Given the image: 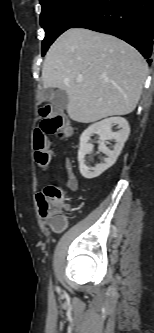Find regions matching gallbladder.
Returning a JSON list of instances; mask_svg holds the SVG:
<instances>
[{
  "instance_id": "obj_1",
  "label": "gallbladder",
  "mask_w": 154,
  "mask_h": 333,
  "mask_svg": "<svg viewBox=\"0 0 154 333\" xmlns=\"http://www.w3.org/2000/svg\"><path fill=\"white\" fill-rule=\"evenodd\" d=\"M41 96L44 100L50 99V102L55 108L63 110L68 104V95L65 90L44 88L41 91Z\"/></svg>"
}]
</instances>
